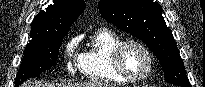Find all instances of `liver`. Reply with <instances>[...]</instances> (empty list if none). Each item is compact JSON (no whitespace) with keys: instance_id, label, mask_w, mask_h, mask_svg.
Returning a JSON list of instances; mask_svg holds the SVG:
<instances>
[{"instance_id":"liver-1","label":"liver","mask_w":205,"mask_h":87,"mask_svg":"<svg viewBox=\"0 0 205 87\" xmlns=\"http://www.w3.org/2000/svg\"><path fill=\"white\" fill-rule=\"evenodd\" d=\"M22 87H111L108 84H102L100 82H88V83H36L33 85L31 82L22 84Z\"/></svg>"}]
</instances>
